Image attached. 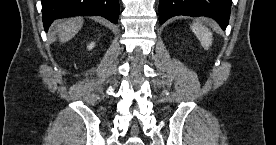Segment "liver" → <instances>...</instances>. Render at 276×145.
Segmentation results:
<instances>
[{
  "label": "liver",
  "instance_id": "liver-1",
  "mask_svg": "<svg viewBox=\"0 0 276 145\" xmlns=\"http://www.w3.org/2000/svg\"><path fill=\"white\" fill-rule=\"evenodd\" d=\"M83 26L81 17L70 18L58 26V32L61 42L65 43L71 40Z\"/></svg>",
  "mask_w": 276,
  "mask_h": 145
}]
</instances>
